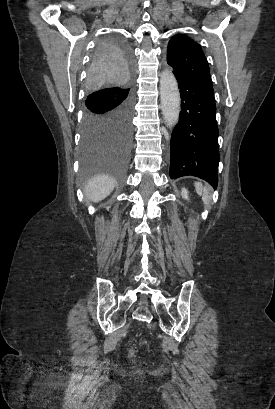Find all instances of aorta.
<instances>
[{"label":"aorta","instance_id":"762f6f07","mask_svg":"<svg viewBox=\"0 0 275 409\" xmlns=\"http://www.w3.org/2000/svg\"><path fill=\"white\" fill-rule=\"evenodd\" d=\"M160 98L162 114L167 126L176 124L180 112L178 82L172 70H162L160 74Z\"/></svg>","mask_w":275,"mask_h":409}]
</instances>
